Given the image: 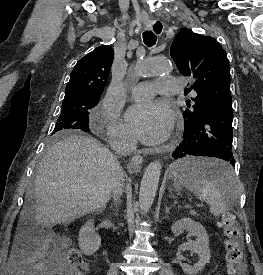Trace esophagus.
Wrapping results in <instances>:
<instances>
[{"instance_id":"esophagus-1","label":"esophagus","mask_w":263,"mask_h":275,"mask_svg":"<svg viewBox=\"0 0 263 275\" xmlns=\"http://www.w3.org/2000/svg\"><path fill=\"white\" fill-rule=\"evenodd\" d=\"M147 29L151 30L156 35L160 36L163 33L164 25L162 22H155L153 24L147 25ZM142 161H143V156L141 155V153L140 152L136 153L132 157V163L130 165V169L134 171L137 170L139 165L142 163Z\"/></svg>"}]
</instances>
